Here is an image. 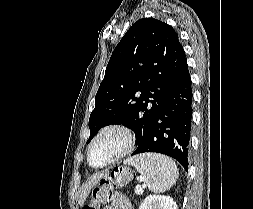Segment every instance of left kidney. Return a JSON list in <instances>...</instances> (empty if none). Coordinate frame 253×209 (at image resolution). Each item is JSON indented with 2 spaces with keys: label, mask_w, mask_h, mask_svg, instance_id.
Returning a JSON list of instances; mask_svg holds the SVG:
<instances>
[{
  "label": "left kidney",
  "mask_w": 253,
  "mask_h": 209,
  "mask_svg": "<svg viewBox=\"0 0 253 209\" xmlns=\"http://www.w3.org/2000/svg\"><path fill=\"white\" fill-rule=\"evenodd\" d=\"M139 209H178L173 198L164 195L147 196Z\"/></svg>",
  "instance_id": "5707ae66"
}]
</instances>
